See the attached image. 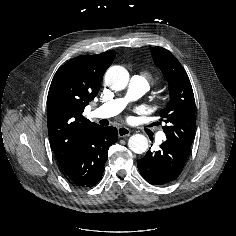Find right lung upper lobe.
Listing matches in <instances>:
<instances>
[{
  "label": "right lung upper lobe",
  "mask_w": 236,
  "mask_h": 236,
  "mask_svg": "<svg viewBox=\"0 0 236 236\" xmlns=\"http://www.w3.org/2000/svg\"><path fill=\"white\" fill-rule=\"evenodd\" d=\"M115 51L82 55L64 64L54 75L47 98L51 148L64 170L77 157L86 135L96 128L82 115L97 93Z\"/></svg>",
  "instance_id": "1"
}]
</instances>
